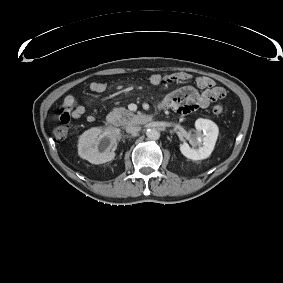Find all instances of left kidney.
<instances>
[{"label": "left kidney", "instance_id": "left-kidney-1", "mask_svg": "<svg viewBox=\"0 0 283 283\" xmlns=\"http://www.w3.org/2000/svg\"><path fill=\"white\" fill-rule=\"evenodd\" d=\"M195 128L198 136L202 139L203 145L199 149H194L187 142H184L180 145V151L191 160H203L208 158L214 150L219 129L213 121L203 118L195 121Z\"/></svg>", "mask_w": 283, "mask_h": 283}]
</instances>
